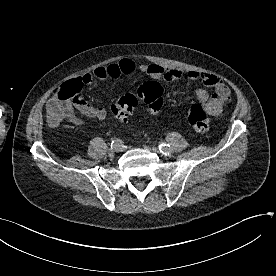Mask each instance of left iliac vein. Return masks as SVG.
<instances>
[{
    "mask_svg": "<svg viewBox=\"0 0 276 276\" xmlns=\"http://www.w3.org/2000/svg\"><path fill=\"white\" fill-rule=\"evenodd\" d=\"M152 150H153L154 152H156V153H160V152H161V151L159 152V150H158L157 148H152ZM163 154L169 156V155H171V152H169V153H163Z\"/></svg>",
    "mask_w": 276,
    "mask_h": 276,
    "instance_id": "1",
    "label": "left iliac vein"
}]
</instances>
